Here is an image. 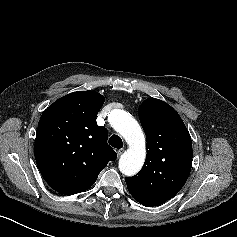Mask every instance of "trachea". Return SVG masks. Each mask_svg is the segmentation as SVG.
<instances>
[{"label":"trachea","instance_id":"obj_1","mask_svg":"<svg viewBox=\"0 0 237 237\" xmlns=\"http://www.w3.org/2000/svg\"><path fill=\"white\" fill-rule=\"evenodd\" d=\"M109 144L117 149H120L123 147V141L120 136L118 135H112L109 139Z\"/></svg>","mask_w":237,"mask_h":237}]
</instances>
